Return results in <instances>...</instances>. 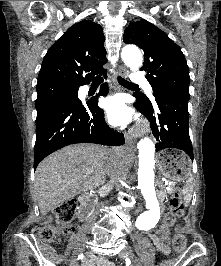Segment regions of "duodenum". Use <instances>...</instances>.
Wrapping results in <instances>:
<instances>
[{
	"mask_svg": "<svg viewBox=\"0 0 221 266\" xmlns=\"http://www.w3.org/2000/svg\"><path fill=\"white\" fill-rule=\"evenodd\" d=\"M80 203H81V208L79 211V219L84 222L86 221L92 212V201L90 197L84 195L80 197Z\"/></svg>",
	"mask_w": 221,
	"mask_h": 266,
	"instance_id": "obj_1",
	"label": "duodenum"
}]
</instances>
